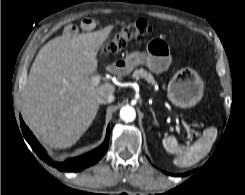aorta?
<instances>
[{
	"label": "aorta",
	"instance_id": "762f6f07",
	"mask_svg": "<svg viewBox=\"0 0 245 195\" xmlns=\"http://www.w3.org/2000/svg\"><path fill=\"white\" fill-rule=\"evenodd\" d=\"M120 117L125 122H132L136 117V111L131 106H124L120 110Z\"/></svg>",
	"mask_w": 245,
	"mask_h": 195
}]
</instances>
